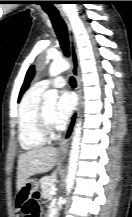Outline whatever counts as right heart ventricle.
Returning <instances> with one entry per match:
<instances>
[{
  "label": "right heart ventricle",
  "mask_w": 132,
  "mask_h": 217,
  "mask_svg": "<svg viewBox=\"0 0 132 217\" xmlns=\"http://www.w3.org/2000/svg\"><path fill=\"white\" fill-rule=\"evenodd\" d=\"M44 89L32 86L23 96L18 111V139L22 149L30 151L42 147L46 138L38 127V112Z\"/></svg>",
  "instance_id": "e07e8e85"
}]
</instances>
